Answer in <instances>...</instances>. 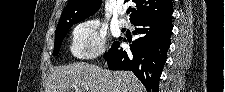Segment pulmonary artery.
<instances>
[{
	"label": "pulmonary artery",
	"mask_w": 225,
	"mask_h": 92,
	"mask_svg": "<svg viewBox=\"0 0 225 92\" xmlns=\"http://www.w3.org/2000/svg\"><path fill=\"white\" fill-rule=\"evenodd\" d=\"M120 14L123 15L124 11H121ZM118 24L120 27H126L128 25V21H127V19L122 17L119 19Z\"/></svg>",
	"instance_id": "pulmonary-artery-1"
}]
</instances>
